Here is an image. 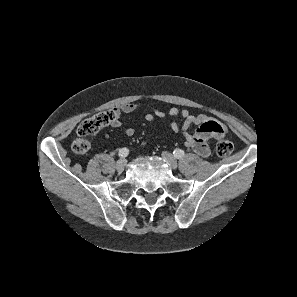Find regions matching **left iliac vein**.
<instances>
[{"label":"left iliac vein","mask_w":297,"mask_h":297,"mask_svg":"<svg viewBox=\"0 0 297 297\" xmlns=\"http://www.w3.org/2000/svg\"><path fill=\"white\" fill-rule=\"evenodd\" d=\"M162 158L169 164L172 169H176L178 167L177 160L174 156L169 152H162Z\"/></svg>","instance_id":"1"}]
</instances>
